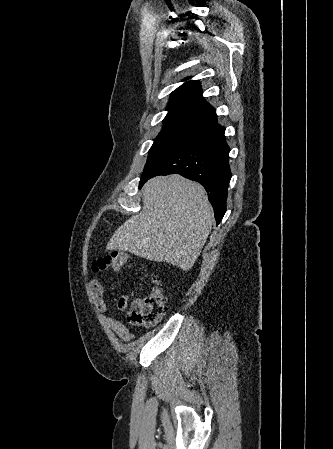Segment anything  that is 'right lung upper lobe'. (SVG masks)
Returning <instances> with one entry per match:
<instances>
[{
    "instance_id": "1",
    "label": "right lung upper lobe",
    "mask_w": 333,
    "mask_h": 449,
    "mask_svg": "<svg viewBox=\"0 0 333 449\" xmlns=\"http://www.w3.org/2000/svg\"><path fill=\"white\" fill-rule=\"evenodd\" d=\"M163 127L185 126L202 131L217 124L216 110L202 96L199 81H187L171 93Z\"/></svg>"
}]
</instances>
